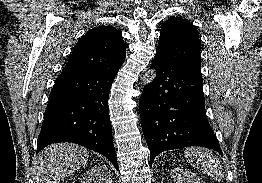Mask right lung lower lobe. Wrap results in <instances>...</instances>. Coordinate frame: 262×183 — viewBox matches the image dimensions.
I'll return each instance as SVG.
<instances>
[{
	"label": "right lung lower lobe",
	"instance_id": "1",
	"mask_svg": "<svg viewBox=\"0 0 262 183\" xmlns=\"http://www.w3.org/2000/svg\"><path fill=\"white\" fill-rule=\"evenodd\" d=\"M118 70L58 77L49 95L37 153L52 143L72 142L104 155L118 170L108 109Z\"/></svg>",
	"mask_w": 262,
	"mask_h": 183
}]
</instances>
